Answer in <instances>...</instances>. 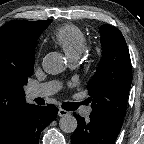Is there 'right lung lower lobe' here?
I'll return each instance as SVG.
<instances>
[{
	"label": "right lung lower lobe",
	"instance_id": "1",
	"mask_svg": "<svg viewBox=\"0 0 144 144\" xmlns=\"http://www.w3.org/2000/svg\"><path fill=\"white\" fill-rule=\"evenodd\" d=\"M57 113L53 104L45 107L29 104L0 137V144H39L41 131L56 118Z\"/></svg>",
	"mask_w": 144,
	"mask_h": 144
}]
</instances>
